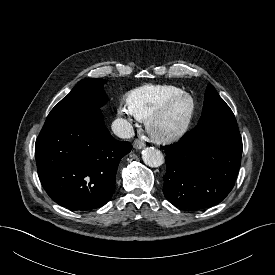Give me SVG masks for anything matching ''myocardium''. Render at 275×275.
<instances>
[{"label":"myocardium","instance_id":"myocardium-1","mask_svg":"<svg viewBox=\"0 0 275 275\" xmlns=\"http://www.w3.org/2000/svg\"><path fill=\"white\" fill-rule=\"evenodd\" d=\"M179 101H185L187 108L181 122L170 129L159 128L160 119ZM196 103L193 96L187 92H180L155 108L146 118L145 127L148 134L157 141L169 142L183 136L189 129L195 114Z\"/></svg>","mask_w":275,"mask_h":275}]
</instances>
